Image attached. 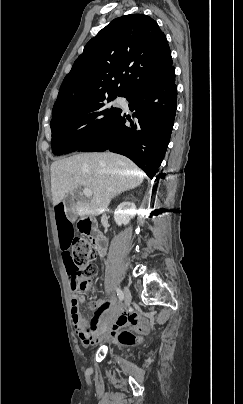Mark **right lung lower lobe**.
<instances>
[{
    "instance_id": "1",
    "label": "right lung lower lobe",
    "mask_w": 243,
    "mask_h": 404,
    "mask_svg": "<svg viewBox=\"0 0 243 404\" xmlns=\"http://www.w3.org/2000/svg\"><path fill=\"white\" fill-rule=\"evenodd\" d=\"M133 118L122 110L104 129L76 151L110 150L129 157L152 179L165 156L177 102L175 68L140 85L126 96ZM129 121L130 125H125ZM160 175L157 176V178Z\"/></svg>"
}]
</instances>
